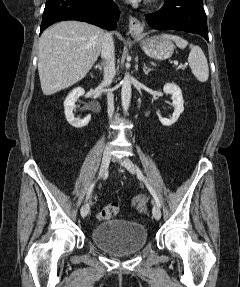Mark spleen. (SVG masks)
<instances>
[{
    "label": "spleen",
    "mask_w": 240,
    "mask_h": 287,
    "mask_svg": "<svg viewBox=\"0 0 240 287\" xmlns=\"http://www.w3.org/2000/svg\"><path fill=\"white\" fill-rule=\"evenodd\" d=\"M163 37L173 40L180 49H184L188 45V41L178 35L167 34ZM189 48L190 53L188 56V63L192 73L198 81L206 82L209 77V68L206 56L202 49L197 45L190 44Z\"/></svg>",
    "instance_id": "spleen-1"
}]
</instances>
